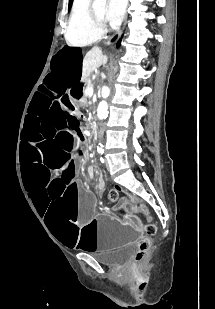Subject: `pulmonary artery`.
<instances>
[{"label":"pulmonary artery","mask_w":215,"mask_h":309,"mask_svg":"<svg viewBox=\"0 0 215 309\" xmlns=\"http://www.w3.org/2000/svg\"><path fill=\"white\" fill-rule=\"evenodd\" d=\"M73 6L75 11H79V14H82V11H86L88 0H75Z\"/></svg>","instance_id":"pulmonary-artery-1"}]
</instances>
